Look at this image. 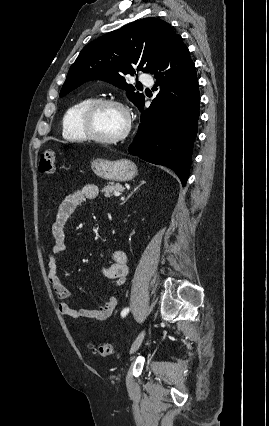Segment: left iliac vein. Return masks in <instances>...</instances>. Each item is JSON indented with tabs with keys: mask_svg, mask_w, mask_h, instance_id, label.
Here are the masks:
<instances>
[{
	"mask_svg": "<svg viewBox=\"0 0 269 426\" xmlns=\"http://www.w3.org/2000/svg\"><path fill=\"white\" fill-rule=\"evenodd\" d=\"M145 337V329H143L139 335L137 336V338L135 339V341L133 342L131 349H130V354H134L140 347V345L143 342V339Z\"/></svg>",
	"mask_w": 269,
	"mask_h": 426,
	"instance_id": "1",
	"label": "left iliac vein"
}]
</instances>
